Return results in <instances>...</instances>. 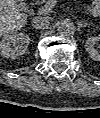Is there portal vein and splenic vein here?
Returning <instances> with one entry per match:
<instances>
[{"instance_id":"18ae733b","label":"portal vein and splenic vein","mask_w":100,"mask_h":118,"mask_svg":"<svg viewBox=\"0 0 100 118\" xmlns=\"http://www.w3.org/2000/svg\"><path fill=\"white\" fill-rule=\"evenodd\" d=\"M57 4V0H48L45 5L41 8L42 13H48Z\"/></svg>"}]
</instances>
